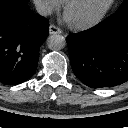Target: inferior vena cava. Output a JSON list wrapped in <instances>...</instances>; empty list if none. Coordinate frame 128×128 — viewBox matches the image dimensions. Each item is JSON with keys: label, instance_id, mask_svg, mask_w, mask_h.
Wrapping results in <instances>:
<instances>
[{"label": "inferior vena cava", "instance_id": "602c4592", "mask_svg": "<svg viewBox=\"0 0 128 128\" xmlns=\"http://www.w3.org/2000/svg\"><path fill=\"white\" fill-rule=\"evenodd\" d=\"M36 10L40 15L47 16L52 14V7L46 2L38 1L35 4Z\"/></svg>", "mask_w": 128, "mask_h": 128}]
</instances>
